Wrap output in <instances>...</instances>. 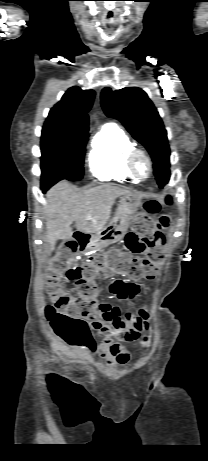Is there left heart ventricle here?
Segmentation results:
<instances>
[{"label":"left heart ventricle","mask_w":208,"mask_h":461,"mask_svg":"<svg viewBox=\"0 0 208 461\" xmlns=\"http://www.w3.org/2000/svg\"><path fill=\"white\" fill-rule=\"evenodd\" d=\"M138 167H139V169H140L141 171L144 172V171H145V167H146L145 162H144L143 160H139V161H138Z\"/></svg>","instance_id":"obj_1"}]
</instances>
